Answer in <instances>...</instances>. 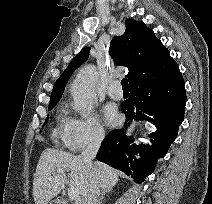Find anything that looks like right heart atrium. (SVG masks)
<instances>
[{
	"label": "right heart atrium",
	"mask_w": 212,
	"mask_h": 204,
	"mask_svg": "<svg viewBox=\"0 0 212 204\" xmlns=\"http://www.w3.org/2000/svg\"><path fill=\"white\" fill-rule=\"evenodd\" d=\"M105 130L95 115L71 117L67 122L64 143L73 152H80L89 146L102 142Z\"/></svg>",
	"instance_id": "right-heart-atrium-1"
}]
</instances>
